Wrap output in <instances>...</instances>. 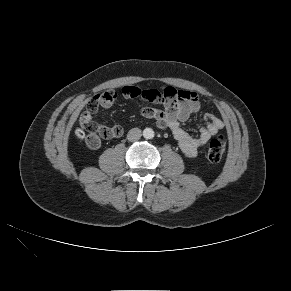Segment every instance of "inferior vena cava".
Segmentation results:
<instances>
[{"label": "inferior vena cava", "mask_w": 291, "mask_h": 291, "mask_svg": "<svg viewBox=\"0 0 291 291\" xmlns=\"http://www.w3.org/2000/svg\"><path fill=\"white\" fill-rule=\"evenodd\" d=\"M142 132L139 128H132L127 134V139L131 142L137 141L141 138Z\"/></svg>", "instance_id": "1"}]
</instances>
